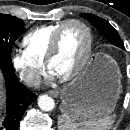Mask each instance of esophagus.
Wrapping results in <instances>:
<instances>
[{"label":"esophagus","mask_w":130,"mask_h":130,"mask_svg":"<svg viewBox=\"0 0 130 130\" xmlns=\"http://www.w3.org/2000/svg\"><path fill=\"white\" fill-rule=\"evenodd\" d=\"M48 94L57 97L59 95V92L57 90H50L48 91Z\"/></svg>","instance_id":"1"}]
</instances>
